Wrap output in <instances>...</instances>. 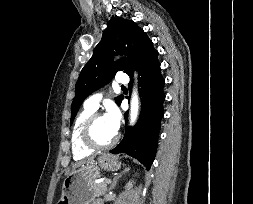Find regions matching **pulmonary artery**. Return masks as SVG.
<instances>
[{
  "label": "pulmonary artery",
  "instance_id": "obj_1",
  "mask_svg": "<svg viewBox=\"0 0 253 204\" xmlns=\"http://www.w3.org/2000/svg\"><path fill=\"white\" fill-rule=\"evenodd\" d=\"M115 82L117 85L125 86L129 83V77L125 73H119L116 76ZM103 97L102 92H96L92 95H90L84 102V106L92 108L96 110L99 106V103Z\"/></svg>",
  "mask_w": 253,
  "mask_h": 204
}]
</instances>
